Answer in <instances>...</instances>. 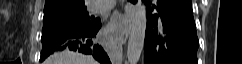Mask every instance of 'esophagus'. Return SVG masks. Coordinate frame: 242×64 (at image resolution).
Wrapping results in <instances>:
<instances>
[{
    "label": "esophagus",
    "instance_id": "34e87169",
    "mask_svg": "<svg viewBox=\"0 0 242 64\" xmlns=\"http://www.w3.org/2000/svg\"><path fill=\"white\" fill-rule=\"evenodd\" d=\"M126 12H127V15L124 18V26H123L120 34L118 35V41L120 42V44H124L130 34L131 21H132L133 13H134V6L132 4H127Z\"/></svg>",
    "mask_w": 242,
    "mask_h": 64
}]
</instances>
